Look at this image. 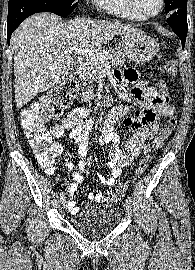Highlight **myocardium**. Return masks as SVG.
Wrapping results in <instances>:
<instances>
[{"instance_id":"1","label":"myocardium","mask_w":195,"mask_h":270,"mask_svg":"<svg viewBox=\"0 0 195 270\" xmlns=\"http://www.w3.org/2000/svg\"><path fill=\"white\" fill-rule=\"evenodd\" d=\"M126 3H127V6L129 7V9L143 20H148V19H152V18L157 17L163 11L164 5H165V1L160 0L159 9L157 10V12H155L153 14H142L136 8L133 0H126Z\"/></svg>"}]
</instances>
